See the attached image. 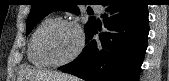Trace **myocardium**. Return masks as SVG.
<instances>
[{
    "label": "myocardium",
    "mask_w": 169,
    "mask_h": 81,
    "mask_svg": "<svg viewBox=\"0 0 169 81\" xmlns=\"http://www.w3.org/2000/svg\"><path fill=\"white\" fill-rule=\"evenodd\" d=\"M59 26H70V27L75 28L77 33H78L79 43H78L76 50L68 58H66L64 60H60V61H54L48 56V54L46 52L45 40H46L47 36L49 35V33L53 29H55ZM84 45H85V38H84V33H83L81 27L79 26V24L77 22L72 21V20H67V19H56L55 21L50 23L41 32V34L38 38L39 54H40L41 58L46 62V64L51 66V67L63 66L65 64H68V63L74 61L81 54V52L84 48Z\"/></svg>",
    "instance_id": "f54148a6"
}]
</instances>
